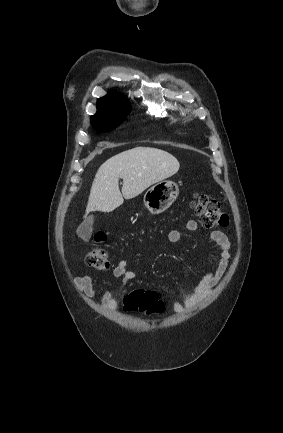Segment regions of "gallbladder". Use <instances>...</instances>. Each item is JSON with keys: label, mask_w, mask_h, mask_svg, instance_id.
I'll return each instance as SVG.
<instances>
[{"label": "gallbladder", "mask_w": 283, "mask_h": 433, "mask_svg": "<svg viewBox=\"0 0 283 433\" xmlns=\"http://www.w3.org/2000/svg\"><path fill=\"white\" fill-rule=\"evenodd\" d=\"M93 223L94 217L93 214H90V217H87V219L83 221L82 225L78 227L77 235H79L83 241H89V239H91Z\"/></svg>", "instance_id": "obj_1"}]
</instances>
